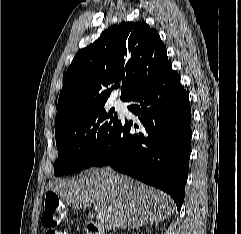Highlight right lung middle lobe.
<instances>
[{
  "label": "right lung middle lobe",
  "instance_id": "obj_1",
  "mask_svg": "<svg viewBox=\"0 0 241 234\" xmlns=\"http://www.w3.org/2000/svg\"><path fill=\"white\" fill-rule=\"evenodd\" d=\"M115 109L92 111L79 122L55 131L58 159L54 175L61 176L89 168L105 150L120 125Z\"/></svg>",
  "mask_w": 241,
  "mask_h": 234
}]
</instances>
